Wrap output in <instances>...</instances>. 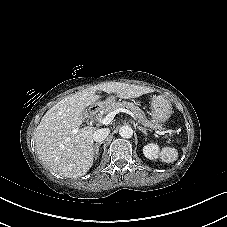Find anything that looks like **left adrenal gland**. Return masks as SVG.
<instances>
[{"mask_svg": "<svg viewBox=\"0 0 227 227\" xmlns=\"http://www.w3.org/2000/svg\"><path fill=\"white\" fill-rule=\"evenodd\" d=\"M136 126H137L138 130H140L142 133H144L145 136H147V129H145L137 124H136Z\"/></svg>", "mask_w": 227, "mask_h": 227, "instance_id": "left-adrenal-gland-1", "label": "left adrenal gland"}]
</instances>
